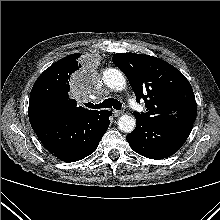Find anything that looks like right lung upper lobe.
I'll use <instances>...</instances> for the list:
<instances>
[{
	"label": "right lung upper lobe",
	"mask_w": 220,
	"mask_h": 220,
	"mask_svg": "<svg viewBox=\"0 0 220 220\" xmlns=\"http://www.w3.org/2000/svg\"><path fill=\"white\" fill-rule=\"evenodd\" d=\"M76 53L52 64L36 80L30 93L29 115L37 112H52L69 117H80L94 112L77 106L69 97L70 78L81 67Z\"/></svg>",
	"instance_id": "obj_1"
}]
</instances>
